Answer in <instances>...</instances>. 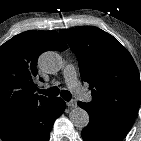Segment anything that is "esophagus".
I'll return each mask as SVG.
<instances>
[{
	"label": "esophagus",
	"instance_id": "esophagus-1",
	"mask_svg": "<svg viewBox=\"0 0 141 141\" xmlns=\"http://www.w3.org/2000/svg\"><path fill=\"white\" fill-rule=\"evenodd\" d=\"M66 105L69 108H76L77 107V101L76 100H71V101L67 102Z\"/></svg>",
	"mask_w": 141,
	"mask_h": 141
}]
</instances>
